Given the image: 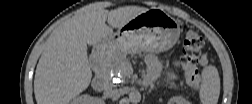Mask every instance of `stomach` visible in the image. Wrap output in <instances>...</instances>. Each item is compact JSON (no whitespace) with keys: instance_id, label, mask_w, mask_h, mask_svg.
<instances>
[{"instance_id":"0dacf381","label":"stomach","mask_w":252,"mask_h":104,"mask_svg":"<svg viewBox=\"0 0 252 104\" xmlns=\"http://www.w3.org/2000/svg\"><path fill=\"white\" fill-rule=\"evenodd\" d=\"M179 22L161 9L143 12L96 45V51L112 59L140 52H164L177 42Z\"/></svg>"}]
</instances>
